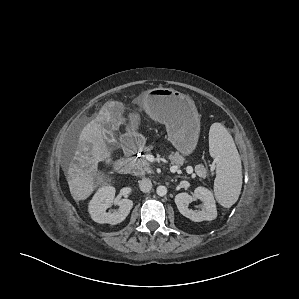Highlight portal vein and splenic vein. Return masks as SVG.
<instances>
[{"mask_svg": "<svg viewBox=\"0 0 299 299\" xmlns=\"http://www.w3.org/2000/svg\"><path fill=\"white\" fill-rule=\"evenodd\" d=\"M177 170H178V166H172L170 168V171L173 173L176 172ZM186 171L191 174L193 173V168L191 166H187Z\"/></svg>", "mask_w": 299, "mask_h": 299, "instance_id": "1", "label": "portal vein and splenic vein"}]
</instances>
